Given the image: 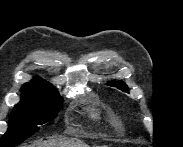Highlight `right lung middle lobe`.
<instances>
[{"mask_svg":"<svg viewBox=\"0 0 183 147\" xmlns=\"http://www.w3.org/2000/svg\"><path fill=\"white\" fill-rule=\"evenodd\" d=\"M22 98L16 104L8 124L7 132L0 139V147H12L39 130L38 125L57 116L63 99L56 90H21Z\"/></svg>","mask_w":183,"mask_h":147,"instance_id":"obj_1","label":"right lung middle lobe"}]
</instances>
